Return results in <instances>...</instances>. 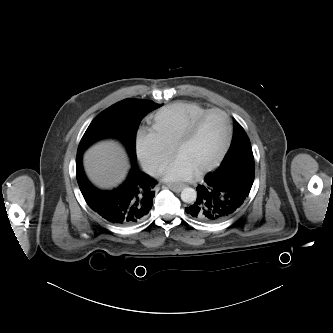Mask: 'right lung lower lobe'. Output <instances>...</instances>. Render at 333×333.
Listing matches in <instances>:
<instances>
[{
	"label": "right lung lower lobe",
	"instance_id": "1",
	"mask_svg": "<svg viewBox=\"0 0 333 333\" xmlns=\"http://www.w3.org/2000/svg\"><path fill=\"white\" fill-rule=\"evenodd\" d=\"M76 177L88 206L110 223L120 226L136 224L152 208L153 188L157 182L139 170L136 159H132V168L125 182L111 191L99 190L87 180L82 167V153H77Z\"/></svg>",
	"mask_w": 333,
	"mask_h": 333
}]
</instances>
